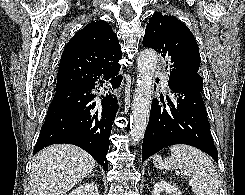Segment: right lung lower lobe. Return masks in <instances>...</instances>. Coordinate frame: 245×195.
I'll use <instances>...</instances> for the list:
<instances>
[{
    "label": "right lung lower lobe",
    "mask_w": 245,
    "mask_h": 195,
    "mask_svg": "<svg viewBox=\"0 0 245 195\" xmlns=\"http://www.w3.org/2000/svg\"><path fill=\"white\" fill-rule=\"evenodd\" d=\"M122 76L97 71L93 80L56 89L33 154L51 144H74L86 150L105 170L109 137L119 108L112 93Z\"/></svg>",
    "instance_id": "98d812e1"
}]
</instances>
